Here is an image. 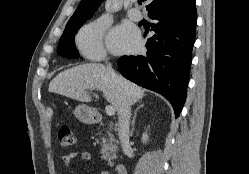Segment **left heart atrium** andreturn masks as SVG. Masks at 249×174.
Masks as SVG:
<instances>
[{
  "mask_svg": "<svg viewBox=\"0 0 249 174\" xmlns=\"http://www.w3.org/2000/svg\"><path fill=\"white\" fill-rule=\"evenodd\" d=\"M108 44L115 52L133 51L138 46V35L127 27H119L109 34Z\"/></svg>",
  "mask_w": 249,
  "mask_h": 174,
  "instance_id": "1",
  "label": "left heart atrium"
}]
</instances>
